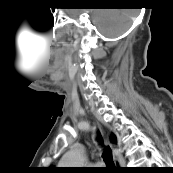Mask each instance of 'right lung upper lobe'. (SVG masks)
Instances as JSON below:
<instances>
[{"instance_id":"right-lung-upper-lobe-1","label":"right lung upper lobe","mask_w":173,"mask_h":173,"mask_svg":"<svg viewBox=\"0 0 173 173\" xmlns=\"http://www.w3.org/2000/svg\"><path fill=\"white\" fill-rule=\"evenodd\" d=\"M111 141L113 142V143H116V139H115V136L112 134V136H111Z\"/></svg>"}]
</instances>
